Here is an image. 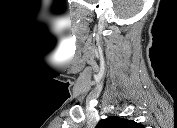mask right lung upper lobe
Returning a JSON list of instances; mask_svg holds the SVG:
<instances>
[{"label":"right lung upper lobe","mask_w":177,"mask_h":128,"mask_svg":"<svg viewBox=\"0 0 177 128\" xmlns=\"http://www.w3.org/2000/svg\"><path fill=\"white\" fill-rule=\"evenodd\" d=\"M99 128H141L142 125L132 120L119 118L116 116H109L101 120L98 125Z\"/></svg>","instance_id":"cb5924a9"}]
</instances>
